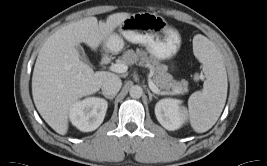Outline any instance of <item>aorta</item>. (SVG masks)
Instances as JSON below:
<instances>
[{
    "label": "aorta",
    "instance_id": "obj_1",
    "mask_svg": "<svg viewBox=\"0 0 267 166\" xmlns=\"http://www.w3.org/2000/svg\"><path fill=\"white\" fill-rule=\"evenodd\" d=\"M129 94L132 98H140L143 94V89L138 85H134L130 88Z\"/></svg>",
    "mask_w": 267,
    "mask_h": 166
}]
</instances>
